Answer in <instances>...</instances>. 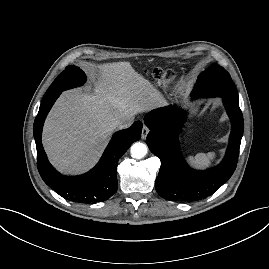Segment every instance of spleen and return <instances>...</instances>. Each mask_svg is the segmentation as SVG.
Returning <instances> with one entry per match:
<instances>
[{
    "mask_svg": "<svg viewBox=\"0 0 269 269\" xmlns=\"http://www.w3.org/2000/svg\"><path fill=\"white\" fill-rule=\"evenodd\" d=\"M216 153L215 152H208V153H198L194 157L193 156H188L187 161L191 166L197 169H204L207 168L211 165V163L215 160L216 158Z\"/></svg>",
    "mask_w": 269,
    "mask_h": 269,
    "instance_id": "obj_1",
    "label": "spleen"
}]
</instances>
